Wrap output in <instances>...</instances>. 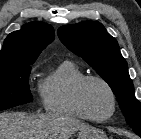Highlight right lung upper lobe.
<instances>
[{"label":"right lung upper lobe","mask_w":141,"mask_h":139,"mask_svg":"<svg viewBox=\"0 0 141 139\" xmlns=\"http://www.w3.org/2000/svg\"><path fill=\"white\" fill-rule=\"evenodd\" d=\"M54 29L42 22H30L10 33L0 51V66L33 64L41 51L53 41Z\"/></svg>","instance_id":"obj_1"}]
</instances>
